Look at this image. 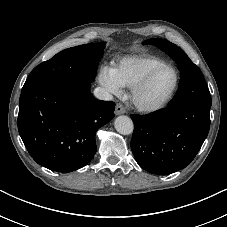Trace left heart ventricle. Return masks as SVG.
I'll list each match as a JSON object with an SVG mask.
<instances>
[{"label":"left heart ventricle","mask_w":227,"mask_h":227,"mask_svg":"<svg viewBox=\"0 0 227 227\" xmlns=\"http://www.w3.org/2000/svg\"><path fill=\"white\" fill-rule=\"evenodd\" d=\"M175 84V73L172 69H163L157 73L141 93L139 100L145 105H155L166 98Z\"/></svg>","instance_id":"obj_1"}]
</instances>
